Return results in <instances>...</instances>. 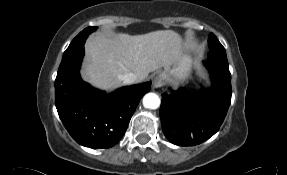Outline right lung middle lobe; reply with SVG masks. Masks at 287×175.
Wrapping results in <instances>:
<instances>
[{
  "instance_id": "obj_1",
  "label": "right lung middle lobe",
  "mask_w": 287,
  "mask_h": 175,
  "mask_svg": "<svg viewBox=\"0 0 287 175\" xmlns=\"http://www.w3.org/2000/svg\"><path fill=\"white\" fill-rule=\"evenodd\" d=\"M96 30V27H88L86 29H84L81 33H79L71 42L70 46L75 44L76 42H78L80 40V37L84 36V35H89L90 33H92L93 31Z\"/></svg>"
}]
</instances>
